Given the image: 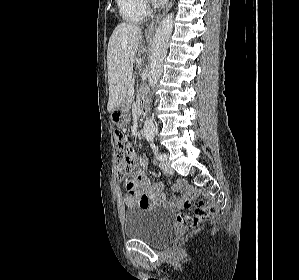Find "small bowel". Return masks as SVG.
Instances as JSON below:
<instances>
[{"mask_svg": "<svg viewBox=\"0 0 299 280\" xmlns=\"http://www.w3.org/2000/svg\"><path fill=\"white\" fill-rule=\"evenodd\" d=\"M134 171L132 178L126 184V192L123 194V201L126 207L149 208L152 206H168L178 208L181 201L178 198L167 200L162 184L154 183L147 178L145 168L147 159L141 158L138 162L133 153Z\"/></svg>", "mask_w": 299, "mask_h": 280, "instance_id": "c3829d8e", "label": "small bowel"}]
</instances>
